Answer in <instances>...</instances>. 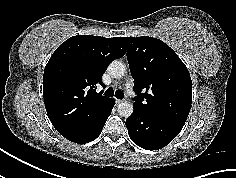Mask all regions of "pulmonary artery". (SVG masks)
<instances>
[{
    "instance_id": "obj_1",
    "label": "pulmonary artery",
    "mask_w": 236,
    "mask_h": 178,
    "mask_svg": "<svg viewBox=\"0 0 236 178\" xmlns=\"http://www.w3.org/2000/svg\"><path fill=\"white\" fill-rule=\"evenodd\" d=\"M127 93H128L130 96H133V97H134V93L130 90V88H127Z\"/></svg>"
}]
</instances>
